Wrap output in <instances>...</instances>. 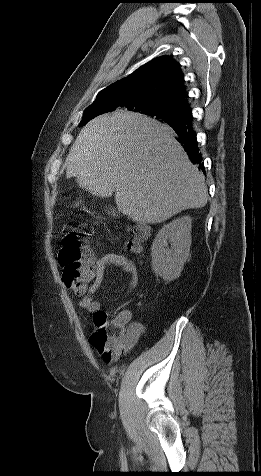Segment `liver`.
Wrapping results in <instances>:
<instances>
[{
	"instance_id": "1",
	"label": "liver",
	"mask_w": 261,
	"mask_h": 476,
	"mask_svg": "<svg viewBox=\"0 0 261 476\" xmlns=\"http://www.w3.org/2000/svg\"><path fill=\"white\" fill-rule=\"evenodd\" d=\"M67 178L99 197L115 192L118 210L139 224L161 223L202 208L205 177L167 125L144 115L116 111L91 120L66 159Z\"/></svg>"
}]
</instances>
